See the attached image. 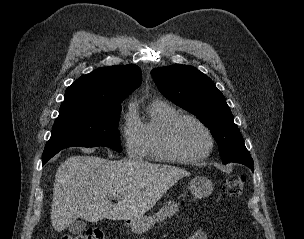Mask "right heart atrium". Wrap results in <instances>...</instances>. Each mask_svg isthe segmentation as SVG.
I'll list each match as a JSON object with an SVG mask.
<instances>
[{
	"label": "right heart atrium",
	"mask_w": 304,
	"mask_h": 239,
	"mask_svg": "<svg viewBox=\"0 0 304 239\" xmlns=\"http://www.w3.org/2000/svg\"><path fill=\"white\" fill-rule=\"evenodd\" d=\"M121 134L128 155L134 158L141 157L144 151L143 136L140 121L132 107L124 114Z\"/></svg>",
	"instance_id": "right-heart-atrium-1"
}]
</instances>
